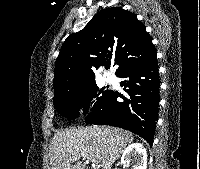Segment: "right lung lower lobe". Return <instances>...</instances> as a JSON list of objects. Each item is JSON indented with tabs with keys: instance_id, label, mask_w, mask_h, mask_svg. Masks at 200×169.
Returning a JSON list of instances; mask_svg holds the SVG:
<instances>
[{
	"instance_id": "right-lung-lower-lobe-1",
	"label": "right lung lower lobe",
	"mask_w": 200,
	"mask_h": 169,
	"mask_svg": "<svg viewBox=\"0 0 200 169\" xmlns=\"http://www.w3.org/2000/svg\"><path fill=\"white\" fill-rule=\"evenodd\" d=\"M117 77L126 96L109 91L101 105L85 118L86 123L105 124L127 129L153 144L159 106V73L156 56L126 68Z\"/></svg>"
}]
</instances>
